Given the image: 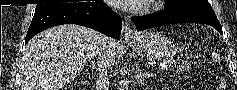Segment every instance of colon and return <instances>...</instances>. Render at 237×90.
Returning <instances> with one entry per match:
<instances>
[{"label":"colon","mask_w":237,"mask_h":90,"mask_svg":"<svg viewBox=\"0 0 237 90\" xmlns=\"http://www.w3.org/2000/svg\"><path fill=\"white\" fill-rule=\"evenodd\" d=\"M220 88H221L222 90H225V89L227 88L226 82H225L224 79H221V80H220Z\"/></svg>","instance_id":"1"}]
</instances>
